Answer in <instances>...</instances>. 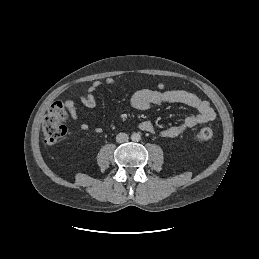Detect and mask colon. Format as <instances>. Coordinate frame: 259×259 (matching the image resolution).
Returning <instances> with one entry per match:
<instances>
[{"label":"colon","instance_id":"1","mask_svg":"<svg viewBox=\"0 0 259 259\" xmlns=\"http://www.w3.org/2000/svg\"><path fill=\"white\" fill-rule=\"evenodd\" d=\"M67 107L66 103L54 102L48 109L42 124L44 142L48 145L57 143L67 132ZM213 138V130L210 127H203L198 130L196 139L200 142H207Z\"/></svg>","mask_w":259,"mask_h":259}]
</instances>
